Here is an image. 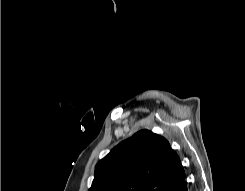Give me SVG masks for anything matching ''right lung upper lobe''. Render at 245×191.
Here are the masks:
<instances>
[{"label": "right lung upper lobe", "instance_id": "obj_1", "mask_svg": "<svg viewBox=\"0 0 245 191\" xmlns=\"http://www.w3.org/2000/svg\"><path fill=\"white\" fill-rule=\"evenodd\" d=\"M183 179L180 158L169 142L141 130L98 162L88 191H168Z\"/></svg>", "mask_w": 245, "mask_h": 191}]
</instances>
